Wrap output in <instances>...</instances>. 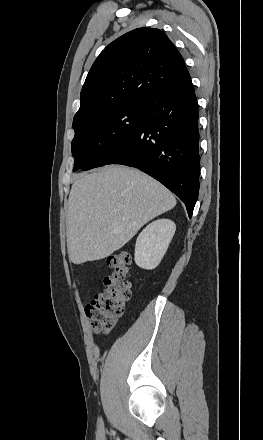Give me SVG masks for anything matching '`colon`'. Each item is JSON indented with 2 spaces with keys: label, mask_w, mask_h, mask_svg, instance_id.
Instances as JSON below:
<instances>
[{
  "label": "colon",
  "mask_w": 263,
  "mask_h": 440,
  "mask_svg": "<svg viewBox=\"0 0 263 440\" xmlns=\"http://www.w3.org/2000/svg\"><path fill=\"white\" fill-rule=\"evenodd\" d=\"M130 264L126 253H116L108 259L112 273L103 277L102 291L86 306V315L96 333L108 335L124 312L125 302L130 298Z\"/></svg>",
  "instance_id": "colon-1"
}]
</instances>
